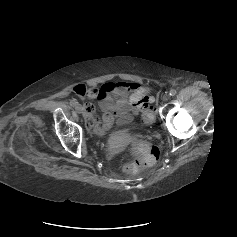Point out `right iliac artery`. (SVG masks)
<instances>
[{
    "label": "right iliac artery",
    "mask_w": 237,
    "mask_h": 237,
    "mask_svg": "<svg viewBox=\"0 0 237 237\" xmlns=\"http://www.w3.org/2000/svg\"><path fill=\"white\" fill-rule=\"evenodd\" d=\"M77 104H78V102L75 99L70 101L71 106H76Z\"/></svg>",
    "instance_id": "1"
}]
</instances>
